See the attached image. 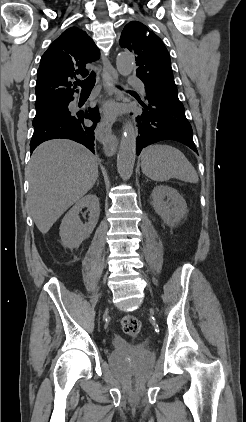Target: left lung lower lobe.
<instances>
[{"label": "left lung lower lobe", "instance_id": "obj_1", "mask_svg": "<svg viewBox=\"0 0 246 422\" xmlns=\"http://www.w3.org/2000/svg\"><path fill=\"white\" fill-rule=\"evenodd\" d=\"M139 103L143 112L136 117L139 125L136 141L138 155L146 146L161 140H175L197 152L184 107L173 106L150 93L145 101L139 100Z\"/></svg>", "mask_w": 246, "mask_h": 422}]
</instances>
